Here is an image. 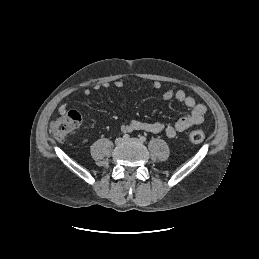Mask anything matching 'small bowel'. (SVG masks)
Masks as SVG:
<instances>
[{"label": "small bowel", "mask_w": 259, "mask_h": 259, "mask_svg": "<svg viewBox=\"0 0 259 259\" xmlns=\"http://www.w3.org/2000/svg\"><path fill=\"white\" fill-rule=\"evenodd\" d=\"M113 85L116 88H122L123 82L121 80H115L112 84L110 82H102L94 86L96 90L100 88H109ZM152 87L154 89L161 88L160 81H154L152 83ZM83 94L85 96H89L91 94L90 88H85L83 90ZM163 99L166 101L176 100L177 102L182 103L189 109V113L185 116L179 118L173 124H164L162 122H143L140 120H132L127 124L121 126V130L124 133H130L133 131H146L149 133H160L164 132L169 138L175 137L177 134L186 131L187 129L201 124L204 120V116L206 114L207 108L205 105L197 103L196 100L186 94V92L182 89L173 90L168 89L163 93ZM66 106L61 105L59 108V113L64 114L66 112Z\"/></svg>", "instance_id": "small-bowel-1"}]
</instances>
